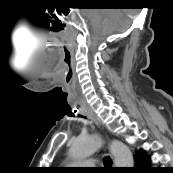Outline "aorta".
<instances>
[{
  "mask_svg": "<svg viewBox=\"0 0 173 173\" xmlns=\"http://www.w3.org/2000/svg\"><path fill=\"white\" fill-rule=\"evenodd\" d=\"M102 145L99 136L77 138L70 147V155L74 160H82L95 153ZM110 151L116 167H133V156L128 146L118 140H113Z\"/></svg>",
  "mask_w": 173,
  "mask_h": 173,
  "instance_id": "762f6f07",
  "label": "aorta"
}]
</instances>
